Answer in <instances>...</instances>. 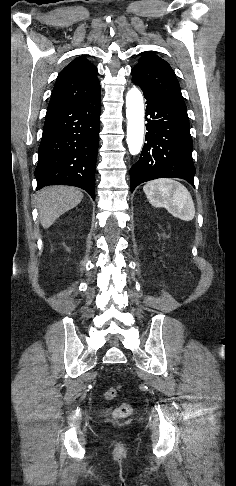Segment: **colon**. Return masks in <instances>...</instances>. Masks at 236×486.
Listing matches in <instances>:
<instances>
[{
  "mask_svg": "<svg viewBox=\"0 0 236 486\" xmlns=\"http://www.w3.org/2000/svg\"><path fill=\"white\" fill-rule=\"evenodd\" d=\"M120 386L111 387L104 392V398L111 400L117 396ZM132 412V407L129 403H123L117 406L113 412V416L116 419H125Z\"/></svg>",
  "mask_w": 236,
  "mask_h": 486,
  "instance_id": "obj_1",
  "label": "colon"
}]
</instances>
